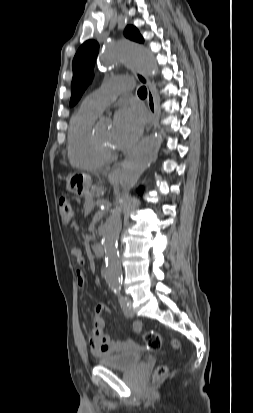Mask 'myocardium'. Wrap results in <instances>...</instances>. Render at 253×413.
<instances>
[{
    "instance_id": "f54148a6",
    "label": "myocardium",
    "mask_w": 253,
    "mask_h": 413,
    "mask_svg": "<svg viewBox=\"0 0 253 413\" xmlns=\"http://www.w3.org/2000/svg\"><path fill=\"white\" fill-rule=\"evenodd\" d=\"M93 143L97 152L105 159H112L115 157L116 152L110 145L105 144L97 135L96 129L93 130Z\"/></svg>"
}]
</instances>
